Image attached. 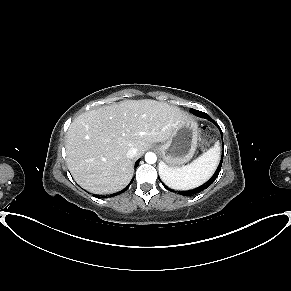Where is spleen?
Returning <instances> with one entry per match:
<instances>
[{
  "label": "spleen",
  "instance_id": "obj_1",
  "mask_svg": "<svg viewBox=\"0 0 291 291\" xmlns=\"http://www.w3.org/2000/svg\"><path fill=\"white\" fill-rule=\"evenodd\" d=\"M219 155L220 147L216 143L207 152L186 166L170 168L162 163L159 167L160 178L168 187L175 190L196 188L213 175Z\"/></svg>",
  "mask_w": 291,
  "mask_h": 291
}]
</instances>
